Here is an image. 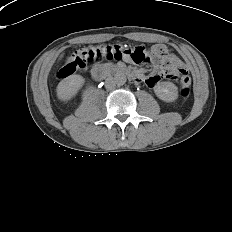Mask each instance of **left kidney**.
I'll use <instances>...</instances> for the list:
<instances>
[{
  "label": "left kidney",
  "mask_w": 232,
  "mask_h": 232,
  "mask_svg": "<svg viewBox=\"0 0 232 232\" xmlns=\"http://www.w3.org/2000/svg\"><path fill=\"white\" fill-rule=\"evenodd\" d=\"M154 92L159 99L165 102H173L178 98V88L172 82L157 83Z\"/></svg>",
  "instance_id": "1"
}]
</instances>
